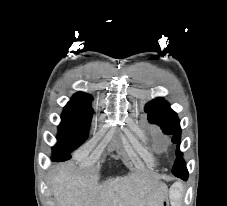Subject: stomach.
I'll return each mask as SVG.
<instances>
[{
  "label": "stomach",
  "instance_id": "stomach-1",
  "mask_svg": "<svg viewBox=\"0 0 227 206\" xmlns=\"http://www.w3.org/2000/svg\"><path fill=\"white\" fill-rule=\"evenodd\" d=\"M168 197H163L162 201H163V205L162 206H169V202H168Z\"/></svg>",
  "mask_w": 227,
  "mask_h": 206
}]
</instances>
